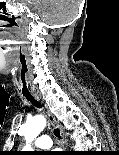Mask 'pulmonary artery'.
I'll use <instances>...</instances> for the list:
<instances>
[{
  "label": "pulmonary artery",
  "instance_id": "e3ab8cb5",
  "mask_svg": "<svg viewBox=\"0 0 119 155\" xmlns=\"http://www.w3.org/2000/svg\"><path fill=\"white\" fill-rule=\"evenodd\" d=\"M35 146L40 149H49L53 143L48 135H41L35 140Z\"/></svg>",
  "mask_w": 119,
  "mask_h": 155
}]
</instances>
